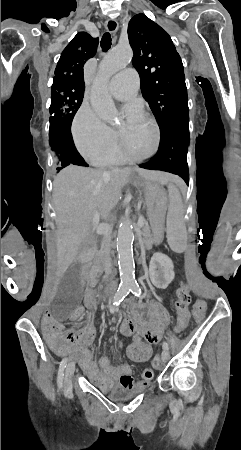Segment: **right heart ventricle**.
<instances>
[{
	"instance_id": "obj_1",
	"label": "right heart ventricle",
	"mask_w": 241,
	"mask_h": 450,
	"mask_svg": "<svg viewBox=\"0 0 241 450\" xmlns=\"http://www.w3.org/2000/svg\"><path fill=\"white\" fill-rule=\"evenodd\" d=\"M118 141L110 142V145H113L114 150L108 154L106 157L98 160H89V162L93 165L97 166H112V165H119L122 164L127 158L126 157H119V151H118ZM126 154V152H125Z\"/></svg>"
}]
</instances>
